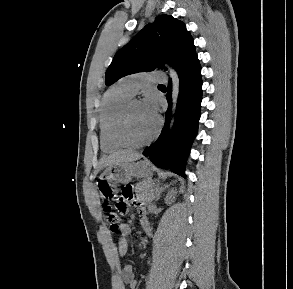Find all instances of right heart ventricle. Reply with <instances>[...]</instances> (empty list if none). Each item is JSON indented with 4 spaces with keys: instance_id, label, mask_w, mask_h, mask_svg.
Wrapping results in <instances>:
<instances>
[{
    "instance_id": "right-heart-ventricle-1",
    "label": "right heart ventricle",
    "mask_w": 293,
    "mask_h": 289,
    "mask_svg": "<svg viewBox=\"0 0 293 289\" xmlns=\"http://www.w3.org/2000/svg\"><path fill=\"white\" fill-rule=\"evenodd\" d=\"M132 97L133 95L121 83L105 93L99 114L100 142L103 151L113 152L122 147L115 139V124L121 109Z\"/></svg>"
}]
</instances>
